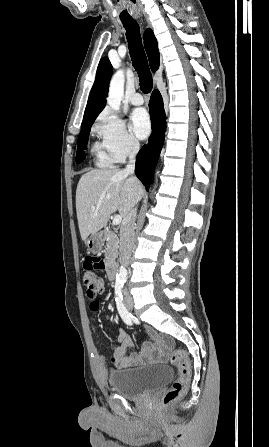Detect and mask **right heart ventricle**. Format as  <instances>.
Masks as SVG:
<instances>
[{
    "label": "right heart ventricle",
    "instance_id": "right-heart-ventricle-1",
    "mask_svg": "<svg viewBox=\"0 0 269 447\" xmlns=\"http://www.w3.org/2000/svg\"><path fill=\"white\" fill-rule=\"evenodd\" d=\"M93 152L95 154V163L99 167L111 166L115 161L113 155L105 149L104 145L95 144Z\"/></svg>",
    "mask_w": 269,
    "mask_h": 447
}]
</instances>
